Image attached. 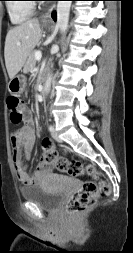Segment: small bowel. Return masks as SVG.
Listing matches in <instances>:
<instances>
[{"label": "small bowel", "instance_id": "obj_1", "mask_svg": "<svg viewBox=\"0 0 133 253\" xmlns=\"http://www.w3.org/2000/svg\"><path fill=\"white\" fill-rule=\"evenodd\" d=\"M35 127L32 114L27 111L24 125L16 130L11 136V144L13 150V162L17 179L23 185H31L41 181L46 174L52 171V164L46 162L42 156L37 170L33 175L27 172L24 159H28L31 155L35 144Z\"/></svg>", "mask_w": 133, "mask_h": 253}]
</instances>
